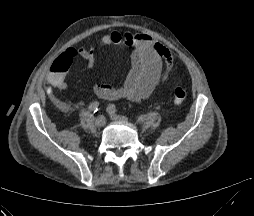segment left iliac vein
I'll use <instances>...</instances> for the list:
<instances>
[{
    "label": "left iliac vein",
    "instance_id": "left-iliac-vein-1",
    "mask_svg": "<svg viewBox=\"0 0 254 216\" xmlns=\"http://www.w3.org/2000/svg\"><path fill=\"white\" fill-rule=\"evenodd\" d=\"M109 116L112 120H121V121H127L125 117L119 116L113 112H109Z\"/></svg>",
    "mask_w": 254,
    "mask_h": 216
}]
</instances>
